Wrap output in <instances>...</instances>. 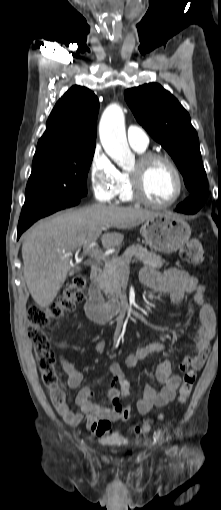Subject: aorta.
<instances>
[{
  "label": "aorta",
  "mask_w": 221,
  "mask_h": 510,
  "mask_svg": "<svg viewBox=\"0 0 221 510\" xmlns=\"http://www.w3.org/2000/svg\"><path fill=\"white\" fill-rule=\"evenodd\" d=\"M99 136L105 152L121 167L131 165L134 157L127 143L125 118L118 104L109 105L99 123Z\"/></svg>",
  "instance_id": "762f6f07"
}]
</instances>
